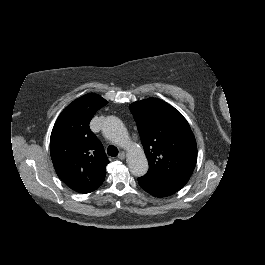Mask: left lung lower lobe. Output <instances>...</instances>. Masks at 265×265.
Here are the masks:
<instances>
[{
  "instance_id": "0a47b994",
  "label": "left lung lower lobe",
  "mask_w": 265,
  "mask_h": 265,
  "mask_svg": "<svg viewBox=\"0 0 265 265\" xmlns=\"http://www.w3.org/2000/svg\"><path fill=\"white\" fill-rule=\"evenodd\" d=\"M138 182L146 192L155 197H166L172 195L183 187L179 185L162 184L144 176L138 178Z\"/></svg>"
}]
</instances>
